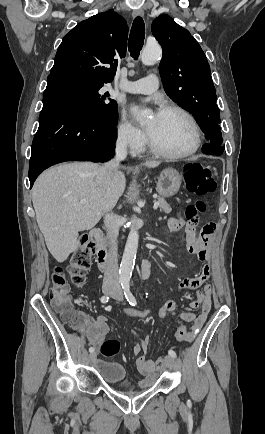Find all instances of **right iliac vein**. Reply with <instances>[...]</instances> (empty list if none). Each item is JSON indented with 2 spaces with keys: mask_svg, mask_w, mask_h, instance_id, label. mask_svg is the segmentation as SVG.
Returning <instances> with one entry per match:
<instances>
[{
  "mask_svg": "<svg viewBox=\"0 0 265 434\" xmlns=\"http://www.w3.org/2000/svg\"><path fill=\"white\" fill-rule=\"evenodd\" d=\"M113 291H114L113 287L107 286V285L103 286V292L105 294H107V295L111 294ZM88 358H89L90 363H92L96 359V353H91Z\"/></svg>",
  "mask_w": 265,
  "mask_h": 434,
  "instance_id": "63e3f726",
  "label": "right iliac vein"
}]
</instances>
